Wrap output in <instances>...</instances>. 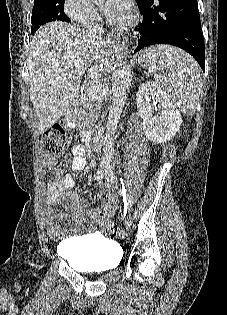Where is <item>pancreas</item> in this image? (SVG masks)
I'll return each instance as SVG.
<instances>
[{
	"label": "pancreas",
	"mask_w": 227,
	"mask_h": 315,
	"mask_svg": "<svg viewBox=\"0 0 227 315\" xmlns=\"http://www.w3.org/2000/svg\"><path fill=\"white\" fill-rule=\"evenodd\" d=\"M100 91L95 95H86L83 101V109L79 111V126L90 128L95 118V110L98 108V101L101 99Z\"/></svg>",
	"instance_id": "pancreas-1"
}]
</instances>
